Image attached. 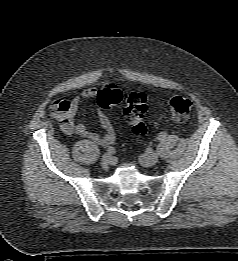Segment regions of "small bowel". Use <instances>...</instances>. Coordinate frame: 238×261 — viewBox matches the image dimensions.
Here are the masks:
<instances>
[{
    "label": "small bowel",
    "mask_w": 238,
    "mask_h": 261,
    "mask_svg": "<svg viewBox=\"0 0 238 261\" xmlns=\"http://www.w3.org/2000/svg\"><path fill=\"white\" fill-rule=\"evenodd\" d=\"M99 91L96 88H90L71 100H64L66 102L65 109L57 111L55 116L64 133L68 135L76 134L98 145L109 146L115 142L116 135L109 117L103 110L98 111V120L105 131L104 135L91 131L84 123L77 122L75 119L81 103L85 100L97 98Z\"/></svg>",
    "instance_id": "1"
}]
</instances>
